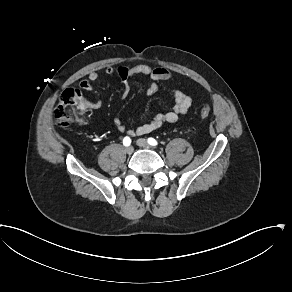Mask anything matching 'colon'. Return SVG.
I'll use <instances>...</instances> for the list:
<instances>
[{
  "label": "colon",
  "instance_id": "1",
  "mask_svg": "<svg viewBox=\"0 0 292 292\" xmlns=\"http://www.w3.org/2000/svg\"><path fill=\"white\" fill-rule=\"evenodd\" d=\"M86 112V106L80 90L67 88L62 93L59 102L54 109V120L58 125L66 126L72 123ZM211 106L204 103L199 111L202 119L209 117Z\"/></svg>",
  "mask_w": 292,
  "mask_h": 292
}]
</instances>
